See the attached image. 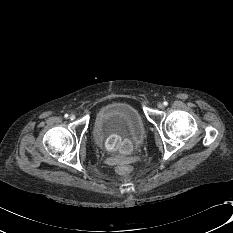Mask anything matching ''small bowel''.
<instances>
[{
	"mask_svg": "<svg viewBox=\"0 0 233 233\" xmlns=\"http://www.w3.org/2000/svg\"><path fill=\"white\" fill-rule=\"evenodd\" d=\"M99 146L104 150H116L123 157L130 156L134 151L133 142L121 133H104L98 139Z\"/></svg>",
	"mask_w": 233,
	"mask_h": 233,
	"instance_id": "1",
	"label": "small bowel"
}]
</instances>
